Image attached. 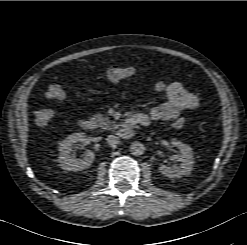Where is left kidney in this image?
<instances>
[{
    "instance_id": "5707ae66",
    "label": "left kidney",
    "mask_w": 247,
    "mask_h": 245,
    "mask_svg": "<svg viewBox=\"0 0 247 245\" xmlns=\"http://www.w3.org/2000/svg\"><path fill=\"white\" fill-rule=\"evenodd\" d=\"M171 144L180 151V154L174 155V160L180 162V164L173 167L161 164L159 171L169 178H180L189 175L194 164L192 148L175 139L171 141Z\"/></svg>"
}]
</instances>
